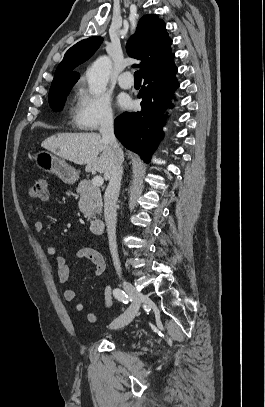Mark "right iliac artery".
<instances>
[{
	"label": "right iliac artery",
	"mask_w": 265,
	"mask_h": 407,
	"mask_svg": "<svg viewBox=\"0 0 265 407\" xmlns=\"http://www.w3.org/2000/svg\"><path fill=\"white\" fill-rule=\"evenodd\" d=\"M113 295L117 300L125 304L128 303V295L123 290L116 288L113 290Z\"/></svg>",
	"instance_id": "1"
}]
</instances>
